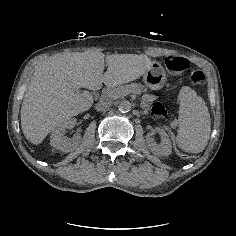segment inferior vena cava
I'll list each match as a JSON object with an SVG mask.
<instances>
[{"instance_id": "602c4592", "label": "inferior vena cava", "mask_w": 236, "mask_h": 236, "mask_svg": "<svg viewBox=\"0 0 236 236\" xmlns=\"http://www.w3.org/2000/svg\"><path fill=\"white\" fill-rule=\"evenodd\" d=\"M110 104H111L110 102H99L96 104L95 109L97 111L107 110V109H109Z\"/></svg>"}]
</instances>
